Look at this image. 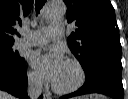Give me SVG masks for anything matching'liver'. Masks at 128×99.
<instances>
[{"label": "liver", "mask_w": 128, "mask_h": 99, "mask_svg": "<svg viewBox=\"0 0 128 99\" xmlns=\"http://www.w3.org/2000/svg\"><path fill=\"white\" fill-rule=\"evenodd\" d=\"M90 98L91 99H106L104 96L97 95V94L91 95ZM0 99H15V98L6 92L0 91ZM84 99H87V97Z\"/></svg>", "instance_id": "1"}]
</instances>
